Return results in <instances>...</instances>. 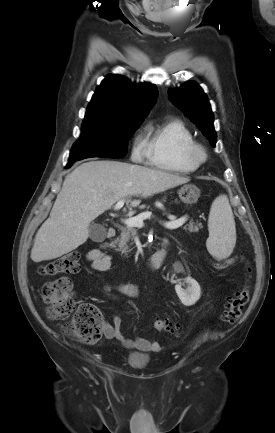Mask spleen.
<instances>
[{
    "instance_id": "1",
    "label": "spleen",
    "mask_w": 275,
    "mask_h": 433,
    "mask_svg": "<svg viewBox=\"0 0 275 433\" xmlns=\"http://www.w3.org/2000/svg\"><path fill=\"white\" fill-rule=\"evenodd\" d=\"M208 230V252L217 260L229 257L236 243V229L227 196L220 195L213 201L208 218Z\"/></svg>"
}]
</instances>
